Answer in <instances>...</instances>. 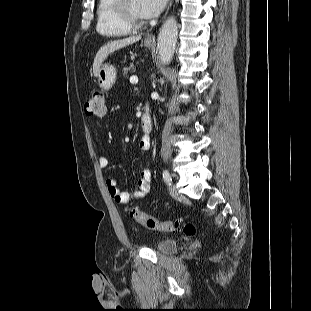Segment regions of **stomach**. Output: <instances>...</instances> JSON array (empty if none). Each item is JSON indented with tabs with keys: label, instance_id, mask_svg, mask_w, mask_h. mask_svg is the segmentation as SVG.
<instances>
[{
	"label": "stomach",
	"instance_id": "stomach-1",
	"mask_svg": "<svg viewBox=\"0 0 311 311\" xmlns=\"http://www.w3.org/2000/svg\"><path fill=\"white\" fill-rule=\"evenodd\" d=\"M144 45L145 47L150 48L153 44L151 42L145 41ZM97 80L102 89H111L116 81L115 66L110 64H102L98 71Z\"/></svg>",
	"mask_w": 311,
	"mask_h": 311
}]
</instances>
